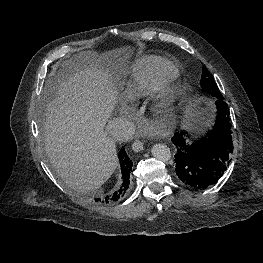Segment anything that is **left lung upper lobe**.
<instances>
[{
    "label": "left lung upper lobe",
    "mask_w": 263,
    "mask_h": 263,
    "mask_svg": "<svg viewBox=\"0 0 263 263\" xmlns=\"http://www.w3.org/2000/svg\"><path fill=\"white\" fill-rule=\"evenodd\" d=\"M200 85L206 93L217 98L223 97L218 89L217 84L214 82L213 78L210 76L205 67H203Z\"/></svg>",
    "instance_id": "obj_1"
}]
</instances>
